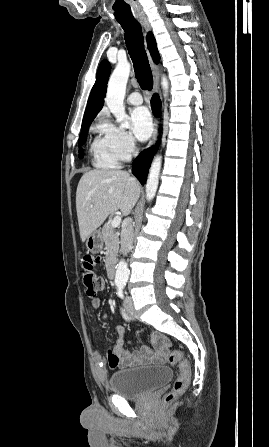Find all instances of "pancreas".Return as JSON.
<instances>
[{"mask_svg":"<svg viewBox=\"0 0 269 447\" xmlns=\"http://www.w3.org/2000/svg\"><path fill=\"white\" fill-rule=\"evenodd\" d=\"M102 233L105 241L106 257L104 259L107 269H110L112 263H116V255L119 249V231H115L112 225L107 222L102 227Z\"/></svg>","mask_w":269,"mask_h":447,"instance_id":"1","label":"pancreas"}]
</instances>
